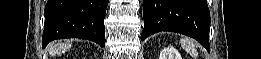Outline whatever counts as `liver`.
Returning <instances> with one entry per match:
<instances>
[{"instance_id":"obj_1","label":"liver","mask_w":261,"mask_h":59,"mask_svg":"<svg viewBox=\"0 0 261 59\" xmlns=\"http://www.w3.org/2000/svg\"><path fill=\"white\" fill-rule=\"evenodd\" d=\"M69 46H67V47H69ZM63 50H64V45H60L59 48L54 52L52 51L51 54H52V56H54L55 54H57L59 52H63Z\"/></svg>"}]
</instances>
